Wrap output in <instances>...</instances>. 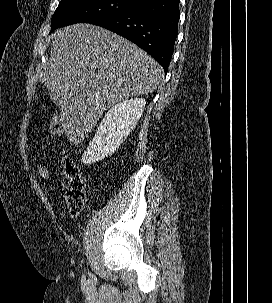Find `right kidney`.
Wrapping results in <instances>:
<instances>
[{
  "mask_svg": "<svg viewBox=\"0 0 272 303\" xmlns=\"http://www.w3.org/2000/svg\"><path fill=\"white\" fill-rule=\"evenodd\" d=\"M145 105V99L134 98L113 106L99 124L81 161L93 164L115 153L136 127Z\"/></svg>",
  "mask_w": 272,
  "mask_h": 303,
  "instance_id": "obj_1",
  "label": "right kidney"
}]
</instances>
